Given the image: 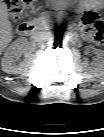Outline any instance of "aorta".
<instances>
[{
    "instance_id": "obj_1",
    "label": "aorta",
    "mask_w": 104,
    "mask_h": 137,
    "mask_svg": "<svg viewBox=\"0 0 104 137\" xmlns=\"http://www.w3.org/2000/svg\"><path fill=\"white\" fill-rule=\"evenodd\" d=\"M57 37L59 39H65L67 37V32L65 30H59L57 32Z\"/></svg>"
}]
</instances>
